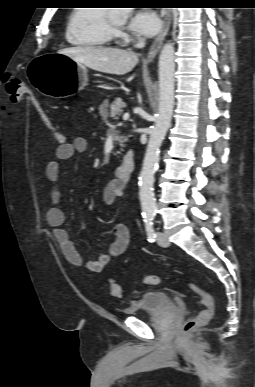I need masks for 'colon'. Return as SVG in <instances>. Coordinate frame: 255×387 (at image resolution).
I'll return each mask as SVG.
<instances>
[{"mask_svg": "<svg viewBox=\"0 0 255 387\" xmlns=\"http://www.w3.org/2000/svg\"><path fill=\"white\" fill-rule=\"evenodd\" d=\"M25 94H29V89L22 81H20L17 78H14V79H10L7 82L6 95L8 100L11 103H17L20 100V98ZM33 104L41 114L44 124L51 131L55 142L58 145L63 144L65 142L64 136L54 126L48 114L42 108V106L40 105L39 101L36 98H33ZM144 283L148 285H157L160 283V278L156 275H147L144 278ZM187 286L190 289V291H192L196 296L200 298L204 308L196 316L189 319L185 323L182 330L183 333L185 334L190 333L196 330L197 328L207 324L211 320L214 314V299L211 296V294L193 282H188ZM107 289L109 294L112 297H120L122 295L121 286L113 280H110L108 282Z\"/></svg>", "mask_w": 255, "mask_h": 387, "instance_id": "obj_1", "label": "colon"}]
</instances>
